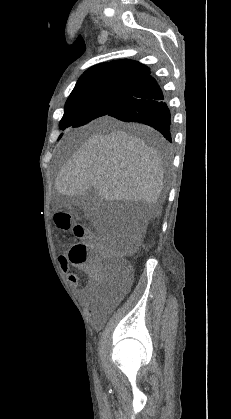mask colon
<instances>
[{"label": "colon", "instance_id": "1", "mask_svg": "<svg viewBox=\"0 0 231 419\" xmlns=\"http://www.w3.org/2000/svg\"><path fill=\"white\" fill-rule=\"evenodd\" d=\"M56 223L62 230L72 229L82 240L71 247L66 259L69 264H87L99 287L107 285L110 290L120 288L129 279L132 269L124 252L114 251L103 244L86 225L74 223L68 212L57 213Z\"/></svg>", "mask_w": 231, "mask_h": 419}]
</instances>
